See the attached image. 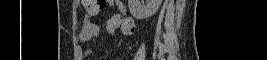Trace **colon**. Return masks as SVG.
Segmentation results:
<instances>
[{
    "label": "colon",
    "mask_w": 267,
    "mask_h": 60,
    "mask_svg": "<svg viewBox=\"0 0 267 60\" xmlns=\"http://www.w3.org/2000/svg\"><path fill=\"white\" fill-rule=\"evenodd\" d=\"M83 4L87 18L99 15L105 7L104 0H84ZM131 28L134 29V25H132Z\"/></svg>",
    "instance_id": "obj_1"
}]
</instances>
